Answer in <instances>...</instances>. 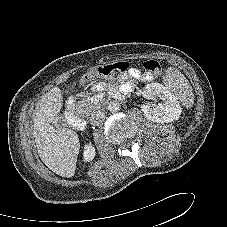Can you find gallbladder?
<instances>
[{
	"label": "gallbladder",
	"instance_id": "gallbladder-1",
	"mask_svg": "<svg viewBox=\"0 0 227 227\" xmlns=\"http://www.w3.org/2000/svg\"><path fill=\"white\" fill-rule=\"evenodd\" d=\"M55 127H62L65 126V121L62 117L58 116V119L56 122L53 123Z\"/></svg>",
	"mask_w": 227,
	"mask_h": 227
}]
</instances>
